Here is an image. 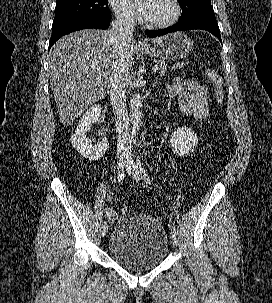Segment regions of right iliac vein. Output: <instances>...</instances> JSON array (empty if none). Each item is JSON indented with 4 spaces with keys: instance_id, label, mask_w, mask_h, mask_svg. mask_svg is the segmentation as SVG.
I'll list each match as a JSON object with an SVG mask.
<instances>
[{
    "instance_id": "right-iliac-vein-1",
    "label": "right iliac vein",
    "mask_w": 272,
    "mask_h": 303,
    "mask_svg": "<svg viewBox=\"0 0 272 303\" xmlns=\"http://www.w3.org/2000/svg\"><path fill=\"white\" fill-rule=\"evenodd\" d=\"M126 164H127V160L123 156L118 157L117 170L118 171L123 170L124 167H126ZM107 231H108V225L103 226L102 236H105L107 234Z\"/></svg>"
}]
</instances>
